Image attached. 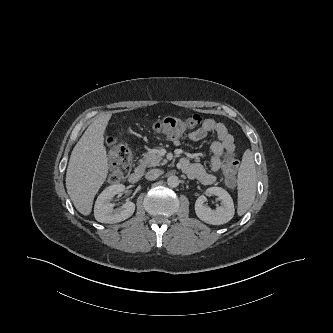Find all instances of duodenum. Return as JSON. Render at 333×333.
Returning <instances> with one entry per match:
<instances>
[{
  "mask_svg": "<svg viewBox=\"0 0 333 333\" xmlns=\"http://www.w3.org/2000/svg\"><path fill=\"white\" fill-rule=\"evenodd\" d=\"M143 173H144V169L143 167H138L128 178L129 182L131 184H137L142 176H143Z\"/></svg>",
  "mask_w": 333,
  "mask_h": 333,
  "instance_id": "duodenum-1",
  "label": "duodenum"
}]
</instances>
